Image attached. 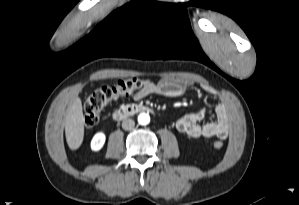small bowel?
I'll list each match as a JSON object with an SVG mask.
<instances>
[{
  "label": "small bowel",
  "mask_w": 299,
  "mask_h": 205,
  "mask_svg": "<svg viewBox=\"0 0 299 205\" xmlns=\"http://www.w3.org/2000/svg\"><path fill=\"white\" fill-rule=\"evenodd\" d=\"M143 83V87L133 96L137 101L150 95H161L170 98L179 97L193 85L191 80L183 77H165L158 83L152 80H143ZM202 90L210 96L216 95L214 89L209 86H202ZM207 114L206 109H201L181 117L176 122L177 131L191 138L217 137L225 139L230 130V116L226 104L221 101L216 105L214 109L215 121L202 122Z\"/></svg>",
  "instance_id": "obj_1"
}]
</instances>
